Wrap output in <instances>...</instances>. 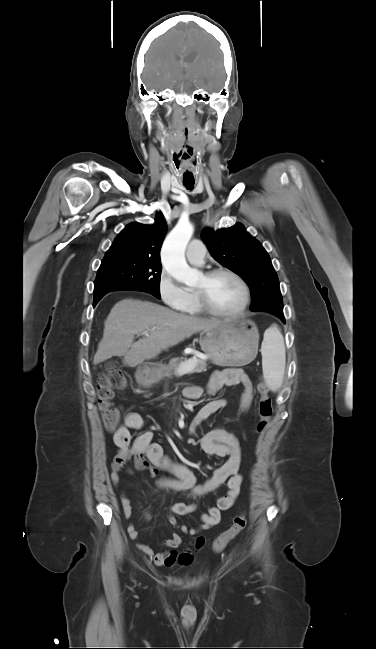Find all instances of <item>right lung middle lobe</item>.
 <instances>
[{
  "mask_svg": "<svg viewBox=\"0 0 376 649\" xmlns=\"http://www.w3.org/2000/svg\"><path fill=\"white\" fill-rule=\"evenodd\" d=\"M159 259L134 254L105 255L94 282V301L114 290H138L160 299Z\"/></svg>",
  "mask_w": 376,
  "mask_h": 649,
  "instance_id": "dd1d6c3e",
  "label": "right lung middle lobe"
}]
</instances>
